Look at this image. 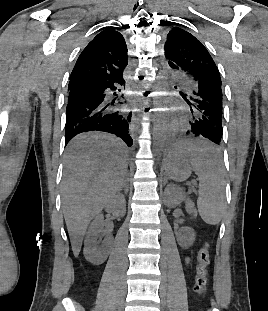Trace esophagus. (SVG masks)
Returning a JSON list of instances; mask_svg holds the SVG:
<instances>
[{
    "label": "esophagus",
    "instance_id": "obj_1",
    "mask_svg": "<svg viewBox=\"0 0 268 311\" xmlns=\"http://www.w3.org/2000/svg\"><path fill=\"white\" fill-rule=\"evenodd\" d=\"M150 88V87H149ZM150 91L148 90H142L141 92H139V97H140V102H145L146 99V95H149Z\"/></svg>",
    "mask_w": 268,
    "mask_h": 311
}]
</instances>
